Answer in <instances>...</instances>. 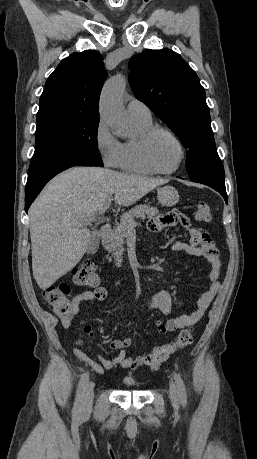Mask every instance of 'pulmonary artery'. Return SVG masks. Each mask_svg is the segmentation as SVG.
Instances as JSON below:
<instances>
[{
  "mask_svg": "<svg viewBox=\"0 0 257 459\" xmlns=\"http://www.w3.org/2000/svg\"><path fill=\"white\" fill-rule=\"evenodd\" d=\"M127 112L131 117L149 119L151 111L146 104L137 100L131 99L127 105Z\"/></svg>",
  "mask_w": 257,
  "mask_h": 459,
  "instance_id": "e3ab8cb5",
  "label": "pulmonary artery"
}]
</instances>
